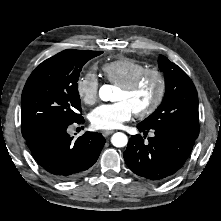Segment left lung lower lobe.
<instances>
[{
    "instance_id": "left-lung-lower-lobe-1",
    "label": "left lung lower lobe",
    "mask_w": 221,
    "mask_h": 221,
    "mask_svg": "<svg viewBox=\"0 0 221 221\" xmlns=\"http://www.w3.org/2000/svg\"><path fill=\"white\" fill-rule=\"evenodd\" d=\"M137 128L145 136L150 130L140 123ZM152 130L155 136L149 137L148 142H144L139 134L132 136L123 156L129 169L136 175L159 182L171 178L181 169L193 149L195 140L174 130Z\"/></svg>"
}]
</instances>
